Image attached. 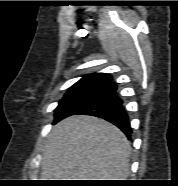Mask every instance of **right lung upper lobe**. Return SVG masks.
I'll list each match as a JSON object with an SVG mask.
<instances>
[{
    "label": "right lung upper lobe",
    "mask_w": 178,
    "mask_h": 186,
    "mask_svg": "<svg viewBox=\"0 0 178 186\" xmlns=\"http://www.w3.org/2000/svg\"><path fill=\"white\" fill-rule=\"evenodd\" d=\"M86 85H108L112 87L115 84L112 82L111 75L105 73H93L83 76L71 88Z\"/></svg>",
    "instance_id": "1"
}]
</instances>
